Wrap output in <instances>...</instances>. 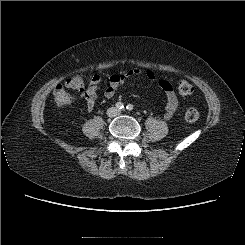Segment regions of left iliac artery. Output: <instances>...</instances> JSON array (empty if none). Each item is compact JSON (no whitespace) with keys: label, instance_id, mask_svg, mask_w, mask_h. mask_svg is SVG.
I'll return each mask as SVG.
<instances>
[{"label":"left iliac artery","instance_id":"obj_1","mask_svg":"<svg viewBox=\"0 0 245 245\" xmlns=\"http://www.w3.org/2000/svg\"><path fill=\"white\" fill-rule=\"evenodd\" d=\"M126 109H127L128 111H132V110H133V105H132V104H128V105L126 106Z\"/></svg>","mask_w":245,"mask_h":245}]
</instances>
